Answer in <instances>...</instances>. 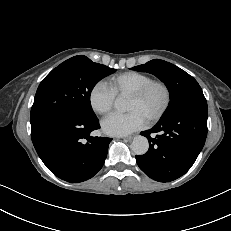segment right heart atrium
Returning <instances> with one entry per match:
<instances>
[{
  "mask_svg": "<svg viewBox=\"0 0 231 231\" xmlns=\"http://www.w3.org/2000/svg\"><path fill=\"white\" fill-rule=\"evenodd\" d=\"M115 94L109 86L100 81L89 92V103L92 110L98 114H107L113 107Z\"/></svg>",
  "mask_w": 231,
  "mask_h": 231,
  "instance_id": "1",
  "label": "right heart atrium"
}]
</instances>
